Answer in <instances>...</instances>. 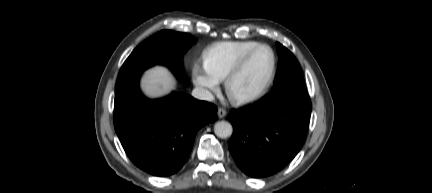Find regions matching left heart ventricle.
Instances as JSON below:
<instances>
[{
	"label": "left heart ventricle",
	"instance_id": "left-heart-ventricle-1",
	"mask_svg": "<svg viewBox=\"0 0 432 193\" xmlns=\"http://www.w3.org/2000/svg\"><path fill=\"white\" fill-rule=\"evenodd\" d=\"M272 62L269 49L261 48L256 51L232 81L233 93L237 96H248L258 92L267 81Z\"/></svg>",
	"mask_w": 432,
	"mask_h": 193
}]
</instances>
